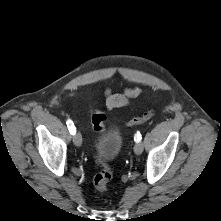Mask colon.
Masks as SVG:
<instances>
[{
  "label": "colon",
  "instance_id": "5ec220e1",
  "mask_svg": "<svg viewBox=\"0 0 221 221\" xmlns=\"http://www.w3.org/2000/svg\"><path fill=\"white\" fill-rule=\"evenodd\" d=\"M155 115V110L151 109L144 112L140 117L134 118L128 122V126H135L144 123ZM106 115L101 111H95L91 116L93 129L98 133H103L106 129ZM96 162L100 166V171L93 179L94 187L99 192L108 190L109 183L112 180L113 173L107 162L99 157H96Z\"/></svg>",
  "mask_w": 221,
  "mask_h": 221
}]
</instances>
